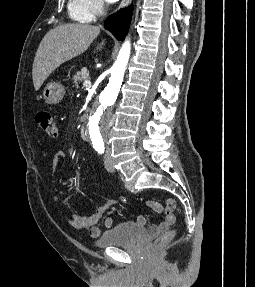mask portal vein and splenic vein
<instances>
[{
  "mask_svg": "<svg viewBox=\"0 0 255 287\" xmlns=\"http://www.w3.org/2000/svg\"><path fill=\"white\" fill-rule=\"evenodd\" d=\"M83 88H91V82H89V80H86V82H84L83 84Z\"/></svg>",
  "mask_w": 255,
  "mask_h": 287,
  "instance_id": "1",
  "label": "portal vein and splenic vein"
}]
</instances>
